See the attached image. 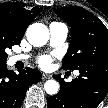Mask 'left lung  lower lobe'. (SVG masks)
Masks as SVG:
<instances>
[{
  "mask_svg": "<svg viewBox=\"0 0 108 108\" xmlns=\"http://www.w3.org/2000/svg\"><path fill=\"white\" fill-rule=\"evenodd\" d=\"M80 76L67 83L54 76L60 83L58 94L47 99L48 108H97L108 91V65L96 69L79 70Z\"/></svg>",
  "mask_w": 108,
  "mask_h": 108,
  "instance_id": "0a47b994",
  "label": "left lung lower lobe"
}]
</instances>
